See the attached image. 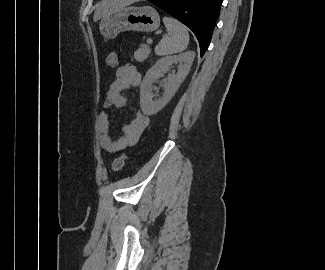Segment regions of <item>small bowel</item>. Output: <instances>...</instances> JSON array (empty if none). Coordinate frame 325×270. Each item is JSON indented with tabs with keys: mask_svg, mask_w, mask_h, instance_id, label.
<instances>
[{
	"mask_svg": "<svg viewBox=\"0 0 325 270\" xmlns=\"http://www.w3.org/2000/svg\"><path fill=\"white\" fill-rule=\"evenodd\" d=\"M140 82L141 76L136 68L132 65H124L118 68L116 79L107 91L103 111L98 117V130L101 148L108 153L118 152L134 145L149 124L148 116L138 111L134 118L122 127V135L118 139L113 140L110 136V122L105 110L110 107H124L127 100L123 92L138 86Z\"/></svg>",
	"mask_w": 325,
	"mask_h": 270,
	"instance_id": "c3829d8e",
	"label": "small bowel"
}]
</instances>
